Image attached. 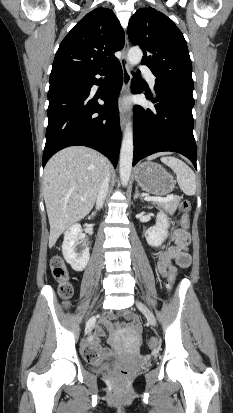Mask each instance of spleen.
<instances>
[{"label": "spleen", "mask_w": 233, "mask_h": 413, "mask_svg": "<svg viewBox=\"0 0 233 413\" xmlns=\"http://www.w3.org/2000/svg\"><path fill=\"white\" fill-rule=\"evenodd\" d=\"M161 161L174 171L181 190L186 195H194L196 192V177L193 170L182 160L175 157H163Z\"/></svg>", "instance_id": "1"}]
</instances>
